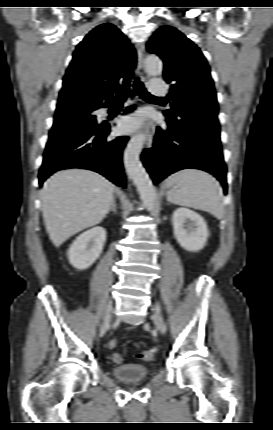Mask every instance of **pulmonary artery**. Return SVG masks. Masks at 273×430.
Segmentation results:
<instances>
[{"mask_svg": "<svg viewBox=\"0 0 273 430\" xmlns=\"http://www.w3.org/2000/svg\"><path fill=\"white\" fill-rule=\"evenodd\" d=\"M152 93L156 96H165L167 94V89L164 83L160 80H154L151 84Z\"/></svg>", "mask_w": 273, "mask_h": 430, "instance_id": "e3ab8cb5", "label": "pulmonary artery"}]
</instances>
